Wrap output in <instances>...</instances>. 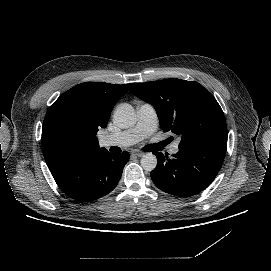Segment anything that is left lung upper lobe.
Returning <instances> with one entry per match:
<instances>
[{
	"mask_svg": "<svg viewBox=\"0 0 271 271\" xmlns=\"http://www.w3.org/2000/svg\"><path fill=\"white\" fill-rule=\"evenodd\" d=\"M130 92L153 105L163 131L181 136L180 146L227 145L223 111L199 83L170 78L138 83Z\"/></svg>",
	"mask_w": 271,
	"mask_h": 271,
	"instance_id": "left-lung-upper-lobe-1",
	"label": "left lung upper lobe"
}]
</instances>
